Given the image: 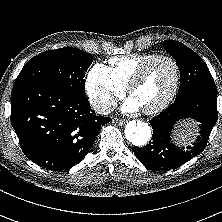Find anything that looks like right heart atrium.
I'll return each instance as SVG.
<instances>
[{
    "instance_id": "right-heart-atrium-1",
    "label": "right heart atrium",
    "mask_w": 222,
    "mask_h": 222,
    "mask_svg": "<svg viewBox=\"0 0 222 222\" xmlns=\"http://www.w3.org/2000/svg\"><path fill=\"white\" fill-rule=\"evenodd\" d=\"M85 87L91 105L101 114L108 113L126 90L114 78L110 68L103 64H95L89 70Z\"/></svg>"
}]
</instances>
